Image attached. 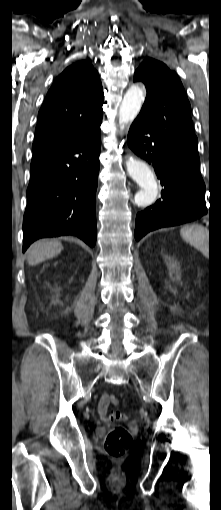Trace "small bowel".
Instances as JSON below:
<instances>
[{
  "label": "small bowel",
  "instance_id": "obj_1",
  "mask_svg": "<svg viewBox=\"0 0 221 510\" xmlns=\"http://www.w3.org/2000/svg\"><path fill=\"white\" fill-rule=\"evenodd\" d=\"M111 397L112 396L109 394H104L101 396V398L99 399V401L97 403L98 414L100 415V417L103 420L108 421V422H110L109 415L113 412V411L109 410Z\"/></svg>",
  "mask_w": 221,
  "mask_h": 510
}]
</instances>
